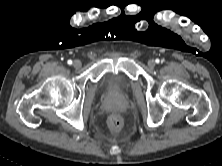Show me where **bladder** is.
I'll list each match as a JSON object with an SVG mask.
<instances>
[{
  "label": "bladder",
  "instance_id": "31cf9c89",
  "mask_svg": "<svg viewBox=\"0 0 222 166\" xmlns=\"http://www.w3.org/2000/svg\"><path fill=\"white\" fill-rule=\"evenodd\" d=\"M101 85L110 96L123 95L129 85L127 77L120 73H111L101 79Z\"/></svg>",
  "mask_w": 222,
  "mask_h": 166
}]
</instances>
